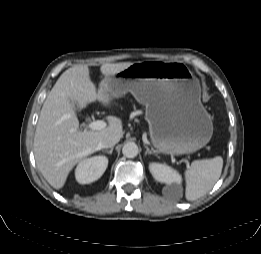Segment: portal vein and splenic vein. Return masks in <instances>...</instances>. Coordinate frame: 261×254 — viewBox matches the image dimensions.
Listing matches in <instances>:
<instances>
[{"instance_id":"18ae733b","label":"portal vein and splenic vein","mask_w":261,"mask_h":254,"mask_svg":"<svg viewBox=\"0 0 261 254\" xmlns=\"http://www.w3.org/2000/svg\"><path fill=\"white\" fill-rule=\"evenodd\" d=\"M107 126L106 122L103 120H93L91 121L86 128L91 130H102Z\"/></svg>"}]
</instances>
